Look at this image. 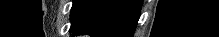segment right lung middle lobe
I'll list each match as a JSON object with an SVG mask.
<instances>
[{"label":"right lung middle lobe","mask_w":219,"mask_h":37,"mask_svg":"<svg viewBox=\"0 0 219 37\" xmlns=\"http://www.w3.org/2000/svg\"><path fill=\"white\" fill-rule=\"evenodd\" d=\"M76 1H77V0H74V1H73V4H74Z\"/></svg>","instance_id":"obj_1"}]
</instances>
